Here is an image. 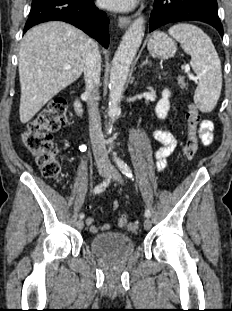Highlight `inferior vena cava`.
<instances>
[{
  "instance_id": "1",
  "label": "inferior vena cava",
  "mask_w": 232,
  "mask_h": 311,
  "mask_svg": "<svg viewBox=\"0 0 232 311\" xmlns=\"http://www.w3.org/2000/svg\"><path fill=\"white\" fill-rule=\"evenodd\" d=\"M101 73V55L96 41L89 39L86 44L84 64L85 94L87 97L89 114V133L92 149L97 166H110L108 152L105 147L104 136L101 129V118L98 111Z\"/></svg>"
}]
</instances>
